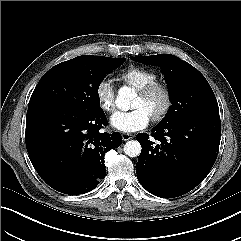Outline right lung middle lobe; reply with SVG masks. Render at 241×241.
Instances as JSON below:
<instances>
[{"instance_id": "obj_1", "label": "right lung middle lobe", "mask_w": 241, "mask_h": 241, "mask_svg": "<svg viewBox=\"0 0 241 241\" xmlns=\"http://www.w3.org/2000/svg\"><path fill=\"white\" fill-rule=\"evenodd\" d=\"M125 61V58L83 55L54 66L38 82L28 110L48 105L64 106L86 114L101 110L99 85Z\"/></svg>"}]
</instances>
